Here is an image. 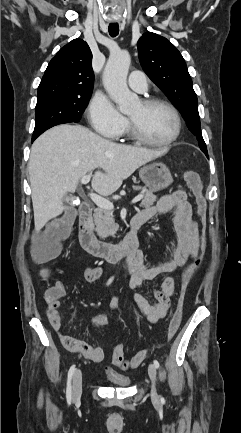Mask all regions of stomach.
<instances>
[{"label":"stomach","mask_w":241,"mask_h":433,"mask_svg":"<svg viewBox=\"0 0 241 433\" xmlns=\"http://www.w3.org/2000/svg\"><path fill=\"white\" fill-rule=\"evenodd\" d=\"M139 176L151 192H158L173 183L169 168L163 163H152L142 167Z\"/></svg>","instance_id":"obj_1"}]
</instances>
